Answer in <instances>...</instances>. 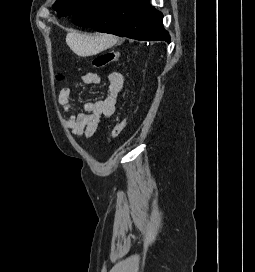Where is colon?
Wrapping results in <instances>:
<instances>
[{
	"label": "colon",
	"mask_w": 255,
	"mask_h": 272,
	"mask_svg": "<svg viewBox=\"0 0 255 272\" xmlns=\"http://www.w3.org/2000/svg\"><path fill=\"white\" fill-rule=\"evenodd\" d=\"M121 57V54L117 51H109L103 54H100L96 56L93 59V66L97 69H101L109 65L110 63H113L115 61H118ZM59 78H62L61 76ZM126 124V119H122L118 121L114 127L112 128L110 132V141H113L119 137V135L122 133L124 127Z\"/></svg>",
	"instance_id": "colon-1"
}]
</instances>
